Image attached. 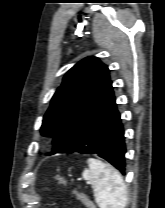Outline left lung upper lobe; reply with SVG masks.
<instances>
[{
	"label": "left lung upper lobe",
	"mask_w": 165,
	"mask_h": 208,
	"mask_svg": "<svg viewBox=\"0 0 165 208\" xmlns=\"http://www.w3.org/2000/svg\"><path fill=\"white\" fill-rule=\"evenodd\" d=\"M113 94L109 69L97 57L75 64L44 115L41 133L54 138L51 154L66 152L88 118Z\"/></svg>",
	"instance_id": "5c2ea615"
}]
</instances>
